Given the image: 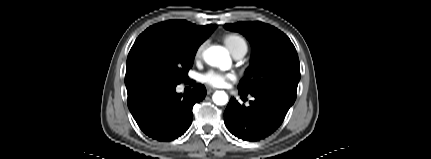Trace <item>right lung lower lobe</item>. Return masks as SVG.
Returning a JSON list of instances; mask_svg holds the SVG:
<instances>
[{"label":"right lung lower lobe","mask_w":431,"mask_h":159,"mask_svg":"<svg viewBox=\"0 0 431 159\" xmlns=\"http://www.w3.org/2000/svg\"><path fill=\"white\" fill-rule=\"evenodd\" d=\"M177 84L150 83L128 93V107L140 129L152 139L172 141L183 135L193 119L192 108L203 100L206 89L194 85L188 94L175 92Z\"/></svg>","instance_id":"right-lung-lower-lobe-1"}]
</instances>
